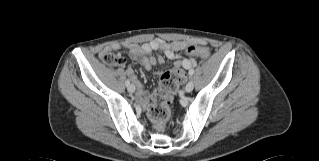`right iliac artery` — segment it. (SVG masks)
<instances>
[{
	"mask_svg": "<svg viewBox=\"0 0 319 161\" xmlns=\"http://www.w3.org/2000/svg\"><path fill=\"white\" fill-rule=\"evenodd\" d=\"M129 84H130V81H129V79H127L126 80V86H129Z\"/></svg>",
	"mask_w": 319,
	"mask_h": 161,
	"instance_id": "obj_1",
	"label": "right iliac artery"
}]
</instances>
